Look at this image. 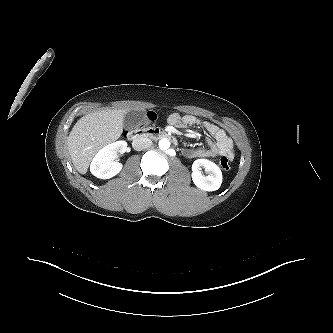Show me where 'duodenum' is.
<instances>
[{
	"label": "duodenum",
	"mask_w": 333,
	"mask_h": 333,
	"mask_svg": "<svg viewBox=\"0 0 333 333\" xmlns=\"http://www.w3.org/2000/svg\"><path fill=\"white\" fill-rule=\"evenodd\" d=\"M127 137L136 148L141 147L144 140L148 138L166 139L173 144H177V140L172 134L160 128H144L132 130L128 133Z\"/></svg>",
	"instance_id": "1"
}]
</instances>
